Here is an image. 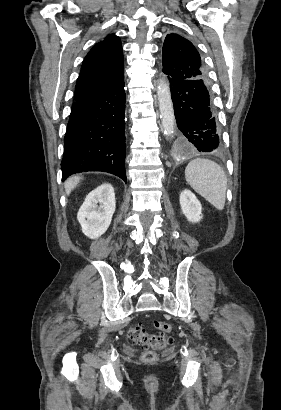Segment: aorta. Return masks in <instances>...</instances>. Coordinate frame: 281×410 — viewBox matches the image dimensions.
<instances>
[{"mask_svg":"<svg viewBox=\"0 0 281 410\" xmlns=\"http://www.w3.org/2000/svg\"><path fill=\"white\" fill-rule=\"evenodd\" d=\"M157 97L164 134L167 137H173L175 132L176 121L174 115L173 102L171 99L170 87L167 81H159L157 86Z\"/></svg>","mask_w":281,"mask_h":410,"instance_id":"1","label":"aorta"}]
</instances>
